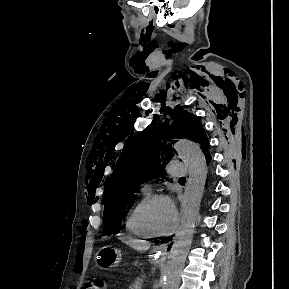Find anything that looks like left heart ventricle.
Listing matches in <instances>:
<instances>
[{"label":"left heart ventricle","mask_w":289,"mask_h":289,"mask_svg":"<svg viewBox=\"0 0 289 289\" xmlns=\"http://www.w3.org/2000/svg\"><path fill=\"white\" fill-rule=\"evenodd\" d=\"M174 211L168 200L157 201L150 209L149 221L157 231L167 230L173 223Z\"/></svg>","instance_id":"1"}]
</instances>
